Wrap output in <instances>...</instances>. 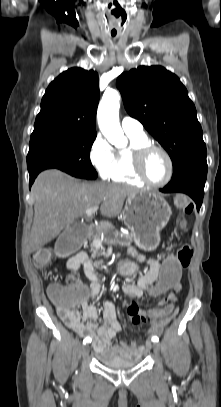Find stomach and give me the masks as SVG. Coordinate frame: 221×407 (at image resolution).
<instances>
[{
	"label": "stomach",
	"mask_w": 221,
	"mask_h": 407,
	"mask_svg": "<svg viewBox=\"0 0 221 407\" xmlns=\"http://www.w3.org/2000/svg\"><path fill=\"white\" fill-rule=\"evenodd\" d=\"M171 214V207L162 196L141 191L127 197L122 216L135 244L150 251L159 245L160 231L167 225ZM126 267L128 271L133 270L129 264Z\"/></svg>",
	"instance_id": "0dacf381"
}]
</instances>
